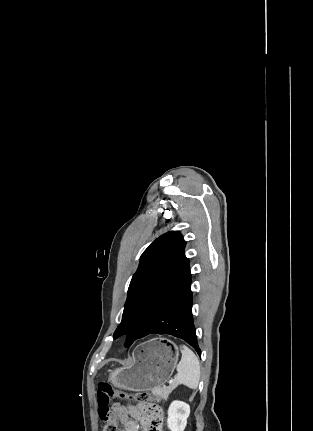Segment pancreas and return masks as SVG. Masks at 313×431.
I'll list each match as a JSON object with an SVG mask.
<instances>
[{
    "label": "pancreas",
    "instance_id": "1",
    "mask_svg": "<svg viewBox=\"0 0 313 431\" xmlns=\"http://www.w3.org/2000/svg\"><path fill=\"white\" fill-rule=\"evenodd\" d=\"M177 383L174 382L168 387H160L152 390V393L160 399H167L169 394L177 387Z\"/></svg>",
    "mask_w": 313,
    "mask_h": 431
}]
</instances>
